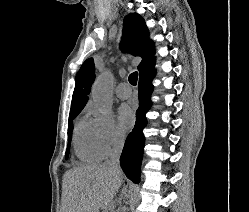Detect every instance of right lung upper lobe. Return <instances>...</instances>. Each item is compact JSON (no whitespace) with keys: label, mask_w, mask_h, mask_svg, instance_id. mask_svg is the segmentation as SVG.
Wrapping results in <instances>:
<instances>
[{"label":"right lung upper lobe","mask_w":249,"mask_h":212,"mask_svg":"<svg viewBox=\"0 0 249 212\" xmlns=\"http://www.w3.org/2000/svg\"><path fill=\"white\" fill-rule=\"evenodd\" d=\"M123 51L134 56H141L138 65L139 73L155 61L153 56L154 43L149 39V31L143 18L131 13L124 19L123 38L120 45ZM95 79V66L93 58L87 59L81 66L77 77L72 97L71 110L83 109L88 101V95Z\"/></svg>","instance_id":"obj_1"}]
</instances>
